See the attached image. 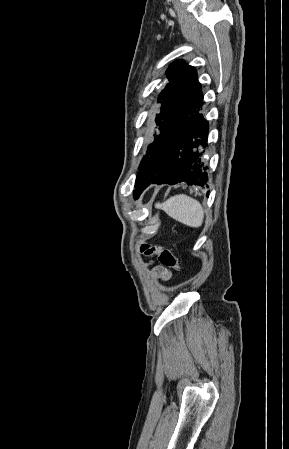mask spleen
<instances>
[{
  "instance_id": "obj_1",
  "label": "spleen",
  "mask_w": 289,
  "mask_h": 449,
  "mask_svg": "<svg viewBox=\"0 0 289 449\" xmlns=\"http://www.w3.org/2000/svg\"><path fill=\"white\" fill-rule=\"evenodd\" d=\"M155 207L189 227L198 228L204 220V210L200 202L185 194L172 196L162 204H155Z\"/></svg>"
}]
</instances>
